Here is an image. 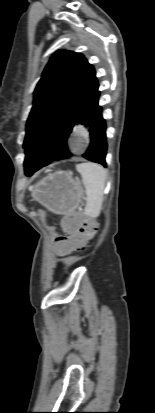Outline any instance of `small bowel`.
Masks as SVG:
<instances>
[{
	"label": "small bowel",
	"mask_w": 155,
	"mask_h": 413,
	"mask_svg": "<svg viewBox=\"0 0 155 413\" xmlns=\"http://www.w3.org/2000/svg\"><path fill=\"white\" fill-rule=\"evenodd\" d=\"M61 250H66V248H61Z\"/></svg>",
	"instance_id": "small-bowel-1"
}]
</instances>
